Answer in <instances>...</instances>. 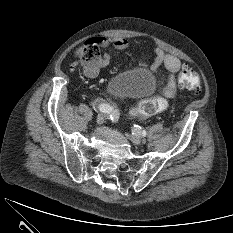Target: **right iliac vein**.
I'll return each mask as SVG.
<instances>
[{"label": "right iliac vein", "mask_w": 233, "mask_h": 233, "mask_svg": "<svg viewBox=\"0 0 233 233\" xmlns=\"http://www.w3.org/2000/svg\"><path fill=\"white\" fill-rule=\"evenodd\" d=\"M105 118H106V115H104V114H99V115L97 116L96 122H97L98 124H103V123L105 122Z\"/></svg>", "instance_id": "obj_1"}]
</instances>
